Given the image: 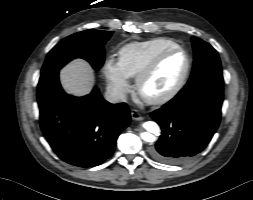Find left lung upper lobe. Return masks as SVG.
I'll return each mask as SVG.
<instances>
[{
  "label": "left lung upper lobe",
  "mask_w": 253,
  "mask_h": 200,
  "mask_svg": "<svg viewBox=\"0 0 253 200\" xmlns=\"http://www.w3.org/2000/svg\"><path fill=\"white\" fill-rule=\"evenodd\" d=\"M194 64L189 81L178 93L185 96L201 85L214 83L223 85L220 59L217 51L205 41L192 37Z\"/></svg>",
  "instance_id": "1"
}]
</instances>
